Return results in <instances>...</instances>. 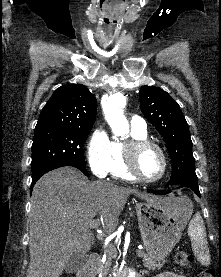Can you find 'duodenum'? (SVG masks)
<instances>
[{
  "mask_svg": "<svg viewBox=\"0 0 221 277\" xmlns=\"http://www.w3.org/2000/svg\"><path fill=\"white\" fill-rule=\"evenodd\" d=\"M101 264V256L97 253L92 254L88 264L78 272L77 277H95L101 267Z\"/></svg>",
  "mask_w": 221,
  "mask_h": 277,
  "instance_id": "1",
  "label": "duodenum"
}]
</instances>
